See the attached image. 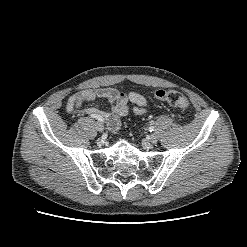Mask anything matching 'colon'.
<instances>
[{
    "label": "colon",
    "instance_id": "obj_1",
    "mask_svg": "<svg viewBox=\"0 0 247 247\" xmlns=\"http://www.w3.org/2000/svg\"><path fill=\"white\" fill-rule=\"evenodd\" d=\"M155 97L162 102L167 103L168 105L185 110L189 106L187 98L180 92L175 90H157Z\"/></svg>",
    "mask_w": 247,
    "mask_h": 247
}]
</instances>
